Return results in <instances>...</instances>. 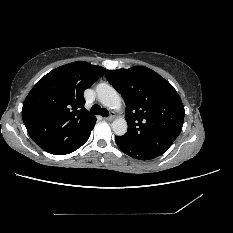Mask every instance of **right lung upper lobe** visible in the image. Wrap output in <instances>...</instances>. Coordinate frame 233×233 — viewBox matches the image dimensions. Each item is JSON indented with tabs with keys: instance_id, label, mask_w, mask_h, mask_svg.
<instances>
[{
	"instance_id": "obj_1",
	"label": "right lung upper lobe",
	"mask_w": 233,
	"mask_h": 233,
	"mask_svg": "<svg viewBox=\"0 0 233 233\" xmlns=\"http://www.w3.org/2000/svg\"><path fill=\"white\" fill-rule=\"evenodd\" d=\"M105 71L84 61L72 62L52 70L35 84L24 100L22 118L38 146L63 155L85 142L96 118L84 108L83 92Z\"/></svg>"
}]
</instances>
